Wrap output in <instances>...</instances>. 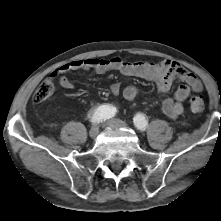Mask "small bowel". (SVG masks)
<instances>
[{
    "label": "small bowel",
    "mask_w": 221,
    "mask_h": 221,
    "mask_svg": "<svg viewBox=\"0 0 221 221\" xmlns=\"http://www.w3.org/2000/svg\"><path fill=\"white\" fill-rule=\"evenodd\" d=\"M93 71L97 74H105L117 71L126 76H133L153 82L159 93H167L176 80L183 84L177 88L173 97H168L162 102V111L169 118L175 119L185 111L184 102L191 92H201L203 85L192 73L181 65L170 60L151 61H127L121 57L110 59L87 58L74 60L62 65L58 70L51 73L52 79L58 78L59 85L64 89H73V82L67 74L74 71ZM114 95H122L126 100L133 101L138 96V89L134 85L122 87L116 82L111 85Z\"/></svg>",
    "instance_id": "c3829d8e"
}]
</instances>
